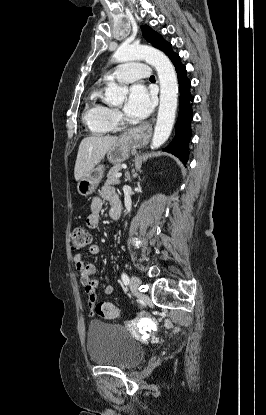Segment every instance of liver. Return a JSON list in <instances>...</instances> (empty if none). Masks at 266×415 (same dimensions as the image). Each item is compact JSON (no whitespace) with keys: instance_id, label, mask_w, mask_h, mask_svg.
<instances>
[{"instance_id":"obj_1","label":"liver","mask_w":266,"mask_h":415,"mask_svg":"<svg viewBox=\"0 0 266 415\" xmlns=\"http://www.w3.org/2000/svg\"><path fill=\"white\" fill-rule=\"evenodd\" d=\"M115 136H89L84 138L78 149L74 177L79 181L103 159L110 147L116 143Z\"/></svg>"}]
</instances>
